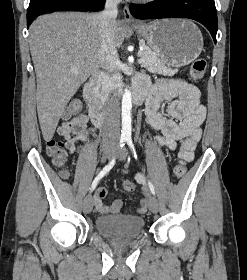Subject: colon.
Segmentation results:
<instances>
[{
  "label": "colon",
  "mask_w": 247,
  "mask_h": 280,
  "mask_svg": "<svg viewBox=\"0 0 247 280\" xmlns=\"http://www.w3.org/2000/svg\"><path fill=\"white\" fill-rule=\"evenodd\" d=\"M206 67L207 62L205 59L195 60L190 68V78L194 81L200 80L204 76ZM67 114L76 117L83 116L84 114L82 111L81 101L78 99L72 100L69 104ZM46 150L56 165H62L65 163L67 159V149L62 141H56L54 139L49 140L46 144ZM186 171V163L185 161L181 160L175 165L173 169V174L176 178H181L182 176H184ZM122 187L126 191H131L134 188L133 183L129 180L123 181Z\"/></svg>",
  "instance_id": "obj_1"
}]
</instances>
